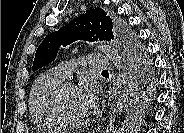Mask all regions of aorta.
<instances>
[{
  "mask_svg": "<svg viewBox=\"0 0 184 133\" xmlns=\"http://www.w3.org/2000/svg\"><path fill=\"white\" fill-rule=\"evenodd\" d=\"M97 47L101 52H103L108 57V59L114 64L116 69H119V70L122 69L121 57L114 47L106 43H100L98 44Z\"/></svg>",
  "mask_w": 184,
  "mask_h": 133,
  "instance_id": "aorta-1",
  "label": "aorta"
}]
</instances>
